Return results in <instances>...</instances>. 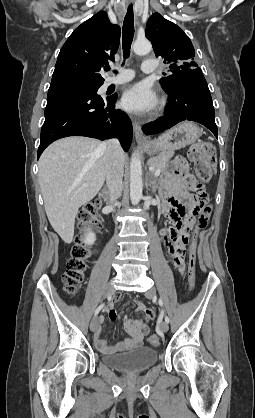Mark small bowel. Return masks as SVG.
Masks as SVG:
<instances>
[{"instance_id": "obj_1", "label": "small bowel", "mask_w": 255, "mask_h": 418, "mask_svg": "<svg viewBox=\"0 0 255 418\" xmlns=\"http://www.w3.org/2000/svg\"><path fill=\"white\" fill-rule=\"evenodd\" d=\"M187 157L179 156L171 169L165 174L161 188L163 199L162 212L173 223L169 228L160 231L162 243L166 246L165 255L170 256V264L178 271V277H185V255L189 246V237L195 234L193 228H176L198 207L200 198L204 195L202 185L189 172L186 164ZM138 309L142 311L146 320L154 317V312L147 309L141 302H137ZM107 316L111 321L117 319V311L113 303L106 307ZM94 332L93 339L96 347L104 354L122 352L140 346L148 332L147 322L138 319L125 318L123 326L130 338L124 339L115 345H109L102 337L101 324Z\"/></svg>"}]
</instances>
